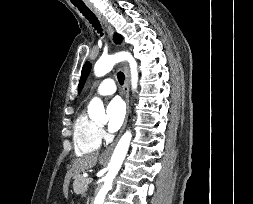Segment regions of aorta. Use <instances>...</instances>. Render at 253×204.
<instances>
[{
	"label": "aorta",
	"mask_w": 253,
	"mask_h": 204,
	"mask_svg": "<svg viewBox=\"0 0 253 204\" xmlns=\"http://www.w3.org/2000/svg\"><path fill=\"white\" fill-rule=\"evenodd\" d=\"M126 60L130 65V72H131V85L132 89L137 88L138 82V71H137V62L133 58V56L129 52H119L114 55H109L100 58L95 66H94V73L97 77L104 76L107 74L113 66L120 62ZM88 114L89 117L94 121H107L108 117L105 115V109L103 106L102 101L95 97L91 100L88 106ZM132 135L130 131H126L124 135L119 140L118 144L115 147L113 155L111 157V161L109 164V171L104 178V184L100 191L98 192L94 204H104V199L108 191L112 187L113 180L117 175L123 160L127 154L129 149L130 141Z\"/></svg>",
	"instance_id": "762f6f07"
}]
</instances>
